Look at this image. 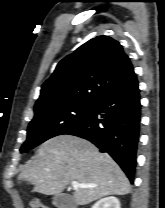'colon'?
Returning <instances> with one entry per match:
<instances>
[{
    "mask_svg": "<svg viewBox=\"0 0 165 208\" xmlns=\"http://www.w3.org/2000/svg\"><path fill=\"white\" fill-rule=\"evenodd\" d=\"M30 208H48L42 201L33 199L30 203Z\"/></svg>",
    "mask_w": 165,
    "mask_h": 208,
    "instance_id": "colon-1",
    "label": "colon"
}]
</instances>
